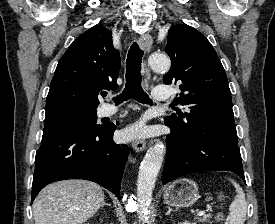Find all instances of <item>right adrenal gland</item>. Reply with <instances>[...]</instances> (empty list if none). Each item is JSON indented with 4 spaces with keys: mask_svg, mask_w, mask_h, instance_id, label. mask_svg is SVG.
I'll list each match as a JSON object with an SVG mask.
<instances>
[{
    "mask_svg": "<svg viewBox=\"0 0 275 224\" xmlns=\"http://www.w3.org/2000/svg\"><path fill=\"white\" fill-rule=\"evenodd\" d=\"M102 206H109V207H111V205L109 203H103Z\"/></svg>",
    "mask_w": 275,
    "mask_h": 224,
    "instance_id": "1",
    "label": "right adrenal gland"
}]
</instances>
